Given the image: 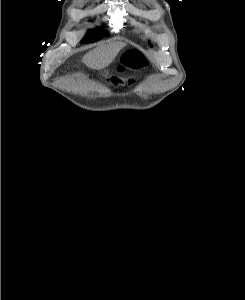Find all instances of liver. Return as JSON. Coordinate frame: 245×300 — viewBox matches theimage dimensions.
<instances>
[{"instance_id": "1", "label": "liver", "mask_w": 245, "mask_h": 300, "mask_svg": "<svg viewBox=\"0 0 245 300\" xmlns=\"http://www.w3.org/2000/svg\"><path fill=\"white\" fill-rule=\"evenodd\" d=\"M124 46L125 44L121 42L109 46H99L89 51L82 61L93 69H103L113 62Z\"/></svg>"}]
</instances>
